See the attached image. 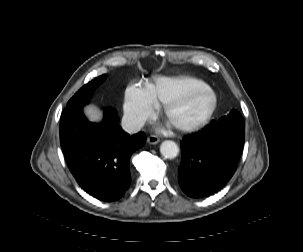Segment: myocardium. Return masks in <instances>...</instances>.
<instances>
[{"mask_svg":"<svg viewBox=\"0 0 303 252\" xmlns=\"http://www.w3.org/2000/svg\"><path fill=\"white\" fill-rule=\"evenodd\" d=\"M201 92H205L207 96L206 108L202 113V115L197 120L189 123H178V124L171 123L170 117L173 111L178 107H181L189 103L193 99V97H195L198 93ZM216 103H217V99L214 90L206 84H201L184 98L164 105L163 114L165 119L172 125L174 129L182 132H191L203 127L210 120L216 108Z\"/></svg>","mask_w":303,"mask_h":252,"instance_id":"obj_1","label":"myocardium"}]
</instances>
